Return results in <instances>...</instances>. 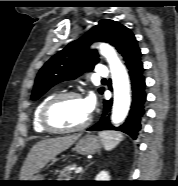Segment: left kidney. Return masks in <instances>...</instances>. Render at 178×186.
Wrapping results in <instances>:
<instances>
[{
	"mask_svg": "<svg viewBox=\"0 0 178 186\" xmlns=\"http://www.w3.org/2000/svg\"><path fill=\"white\" fill-rule=\"evenodd\" d=\"M95 181H110V175L107 171H101L97 174Z\"/></svg>",
	"mask_w": 178,
	"mask_h": 186,
	"instance_id": "left-kidney-1",
	"label": "left kidney"
}]
</instances>
